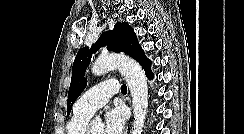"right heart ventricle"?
<instances>
[{
	"mask_svg": "<svg viewBox=\"0 0 244 134\" xmlns=\"http://www.w3.org/2000/svg\"><path fill=\"white\" fill-rule=\"evenodd\" d=\"M91 115L74 110L66 125V134H84Z\"/></svg>",
	"mask_w": 244,
	"mask_h": 134,
	"instance_id": "obj_1",
	"label": "right heart ventricle"
}]
</instances>
